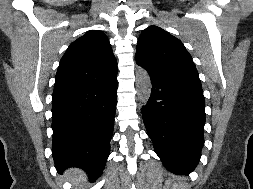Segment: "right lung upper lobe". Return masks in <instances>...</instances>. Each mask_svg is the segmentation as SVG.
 <instances>
[{
    "instance_id": "right-lung-upper-lobe-1",
    "label": "right lung upper lobe",
    "mask_w": 253,
    "mask_h": 189,
    "mask_svg": "<svg viewBox=\"0 0 253 189\" xmlns=\"http://www.w3.org/2000/svg\"><path fill=\"white\" fill-rule=\"evenodd\" d=\"M117 73L106 35L90 30L72 42L60 61L55 84L94 83Z\"/></svg>"
}]
</instances>
